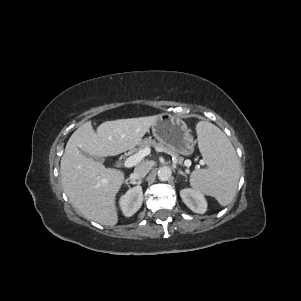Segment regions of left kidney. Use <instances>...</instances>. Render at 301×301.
Returning <instances> with one entry per match:
<instances>
[{
	"mask_svg": "<svg viewBox=\"0 0 301 301\" xmlns=\"http://www.w3.org/2000/svg\"><path fill=\"white\" fill-rule=\"evenodd\" d=\"M183 202L195 213L203 214L207 210V201L203 194L195 189L186 188L180 191Z\"/></svg>",
	"mask_w": 301,
	"mask_h": 301,
	"instance_id": "1",
	"label": "left kidney"
}]
</instances>
